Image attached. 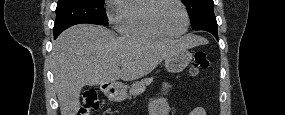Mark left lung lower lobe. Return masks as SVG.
I'll list each match as a JSON object with an SVG mask.
<instances>
[{"label": "left lung lower lobe", "instance_id": "left-lung-lower-lobe-1", "mask_svg": "<svg viewBox=\"0 0 285 115\" xmlns=\"http://www.w3.org/2000/svg\"><path fill=\"white\" fill-rule=\"evenodd\" d=\"M196 30L208 31L218 40L216 19L202 23Z\"/></svg>", "mask_w": 285, "mask_h": 115}]
</instances>
